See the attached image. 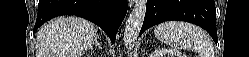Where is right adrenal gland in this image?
<instances>
[{"label": "right adrenal gland", "instance_id": "2a0ac1e0", "mask_svg": "<svg viewBox=\"0 0 249 57\" xmlns=\"http://www.w3.org/2000/svg\"><path fill=\"white\" fill-rule=\"evenodd\" d=\"M95 46H98L99 48L101 47V43L97 41V39L95 40Z\"/></svg>", "mask_w": 249, "mask_h": 57}]
</instances>
